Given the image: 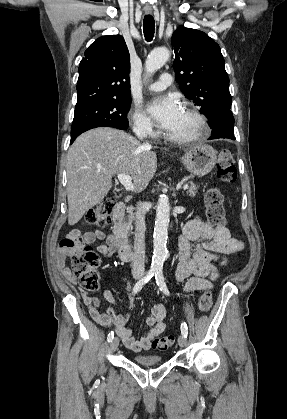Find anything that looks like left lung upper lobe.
<instances>
[{"instance_id":"left-lung-upper-lobe-1","label":"left lung upper lobe","mask_w":287,"mask_h":419,"mask_svg":"<svg viewBox=\"0 0 287 419\" xmlns=\"http://www.w3.org/2000/svg\"><path fill=\"white\" fill-rule=\"evenodd\" d=\"M172 46L179 88L207 116L212 128L232 104L220 47L204 32L185 27L173 33Z\"/></svg>"}]
</instances>
